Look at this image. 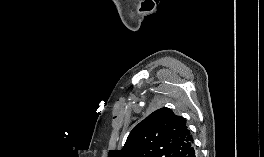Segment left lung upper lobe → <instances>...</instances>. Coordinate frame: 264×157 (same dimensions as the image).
I'll use <instances>...</instances> for the list:
<instances>
[{"label": "left lung upper lobe", "instance_id": "left-lung-upper-lobe-1", "mask_svg": "<svg viewBox=\"0 0 264 157\" xmlns=\"http://www.w3.org/2000/svg\"><path fill=\"white\" fill-rule=\"evenodd\" d=\"M193 138L182 116L161 108L137 124L121 150L108 157H187Z\"/></svg>", "mask_w": 264, "mask_h": 157}]
</instances>
